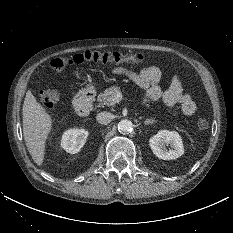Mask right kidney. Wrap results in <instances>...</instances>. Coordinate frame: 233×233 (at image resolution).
I'll list each match as a JSON object with an SVG mask.
<instances>
[{
  "label": "right kidney",
  "instance_id": "1",
  "mask_svg": "<svg viewBox=\"0 0 233 233\" xmlns=\"http://www.w3.org/2000/svg\"><path fill=\"white\" fill-rule=\"evenodd\" d=\"M88 134L85 129H69L62 135L61 147L70 154L78 153L84 146Z\"/></svg>",
  "mask_w": 233,
  "mask_h": 233
}]
</instances>
